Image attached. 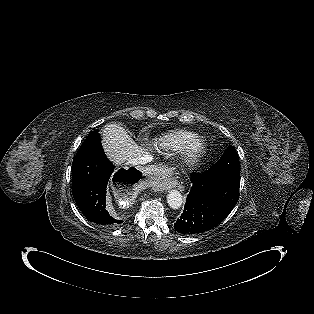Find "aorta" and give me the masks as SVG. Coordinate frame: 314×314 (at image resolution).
<instances>
[{
	"label": "aorta",
	"instance_id": "762f6f07",
	"mask_svg": "<svg viewBox=\"0 0 314 314\" xmlns=\"http://www.w3.org/2000/svg\"><path fill=\"white\" fill-rule=\"evenodd\" d=\"M167 203L170 208L177 210L182 206L183 199L182 195L177 190H171L167 195Z\"/></svg>",
	"mask_w": 314,
	"mask_h": 314
}]
</instances>
